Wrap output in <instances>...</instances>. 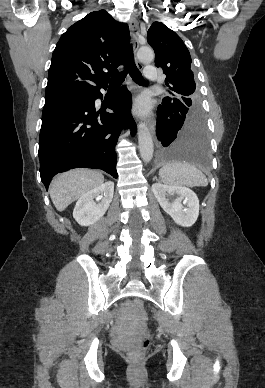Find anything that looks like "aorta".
<instances>
[{
    "label": "aorta",
    "instance_id": "obj_1",
    "mask_svg": "<svg viewBox=\"0 0 265 388\" xmlns=\"http://www.w3.org/2000/svg\"><path fill=\"white\" fill-rule=\"evenodd\" d=\"M137 57L140 61L150 63L154 59V52L152 49L143 47L137 52ZM138 143L141 158L145 162L151 161L153 157V141L148 127L144 123L138 125Z\"/></svg>",
    "mask_w": 265,
    "mask_h": 388
}]
</instances>
